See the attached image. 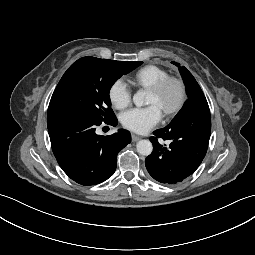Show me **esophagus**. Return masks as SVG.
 <instances>
[{"label": "esophagus", "instance_id": "esophagus-1", "mask_svg": "<svg viewBox=\"0 0 255 255\" xmlns=\"http://www.w3.org/2000/svg\"><path fill=\"white\" fill-rule=\"evenodd\" d=\"M138 140H140V137L137 135H132V142H137Z\"/></svg>", "mask_w": 255, "mask_h": 255}]
</instances>
